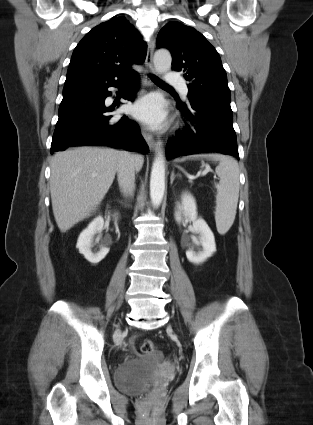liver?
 Listing matches in <instances>:
<instances>
[{
    "instance_id": "obj_1",
    "label": "liver",
    "mask_w": 313,
    "mask_h": 425,
    "mask_svg": "<svg viewBox=\"0 0 313 425\" xmlns=\"http://www.w3.org/2000/svg\"><path fill=\"white\" fill-rule=\"evenodd\" d=\"M129 154L110 148L78 147L54 155L50 193L55 221L61 232L91 216L113 183L121 158ZM136 170L144 162L133 155Z\"/></svg>"
}]
</instances>
